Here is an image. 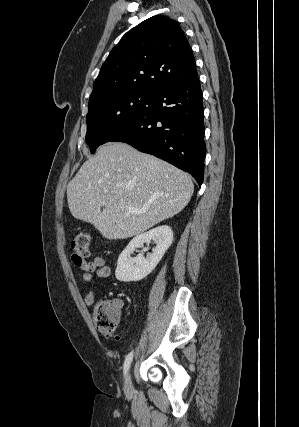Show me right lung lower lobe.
Returning <instances> with one entry per match:
<instances>
[{"label": "right lung lower lobe", "instance_id": "right-lung-lower-lobe-1", "mask_svg": "<svg viewBox=\"0 0 299 427\" xmlns=\"http://www.w3.org/2000/svg\"><path fill=\"white\" fill-rule=\"evenodd\" d=\"M202 91L197 76L165 85L152 97L148 110L110 141L125 142L190 173L199 185L204 177Z\"/></svg>", "mask_w": 299, "mask_h": 427}]
</instances>
